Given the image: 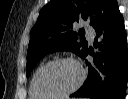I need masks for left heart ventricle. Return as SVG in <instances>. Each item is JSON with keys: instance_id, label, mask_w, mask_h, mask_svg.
I'll return each instance as SVG.
<instances>
[{"instance_id": "obj_1", "label": "left heart ventricle", "mask_w": 128, "mask_h": 99, "mask_svg": "<svg viewBox=\"0 0 128 99\" xmlns=\"http://www.w3.org/2000/svg\"><path fill=\"white\" fill-rule=\"evenodd\" d=\"M79 79L78 68L69 62L57 63L45 68L39 75L37 87L45 94H56L72 88Z\"/></svg>"}]
</instances>
